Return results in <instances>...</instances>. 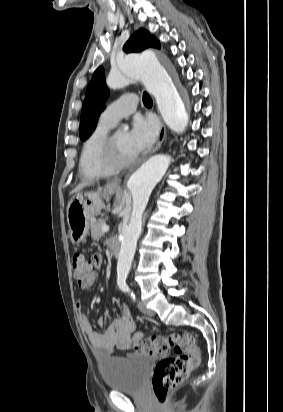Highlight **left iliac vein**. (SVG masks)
I'll use <instances>...</instances> for the list:
<instances>
[{"label":"left iliac vein","mask_w":283,"mask_h":412,"mask_svg":"<svg viewBox=\"0 0 283 412\" xmlns=\"http://www.w3.org/2000/svg\"><path fill=\"white\" fill-rule=\"evenodd\" d=\"M137 305H138L139 310H140L144 315L149 316V317H153V316L155 315L154 311L151 310V309H149V308H147L146 305H145L143 302L138 301V304H137Z\"/></svg>","instance_id":"obj_1"}]
</instances>
